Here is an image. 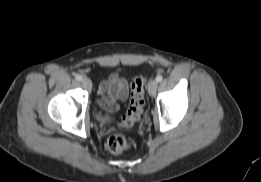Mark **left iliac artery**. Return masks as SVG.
<instances>
[{
  "label": "left iliac artery",
  "instance_id": "44dca946",
  "mask_svg": "<svg viewBox=\"0 0 261 182\" xmlns=\"http://www.w3.org/2000/svg\"><path fill=\"white\" fill-rule=\"evenodd\" d=\"M163 80V76L162 75H158L157 77H156V81L157 82H161Z\"/></svg>",
  "mask_w": 261,
  "mask_h": 182
}]
</instances>
